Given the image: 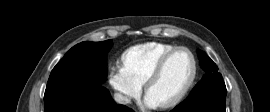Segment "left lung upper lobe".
Listing matches in <instances>:
<instances>
[{
  "label": "left lung upper lobe",
  "instance_id": "5c2ea615",
  "mask_svg": "<svg viewBox=\"0 0 270 112\" xmlns=\"http://www.w3.org/2000/svg\"><path fill=\"white\" fill-rule=\"evenodd\" d=\"M198 58L200 60L201 68L207 73L203 79L193 88L188 98L197 95L204 90L208 85L222 80V75L218 73V67L202 50H198Z\"/></svg>",
  "mask_w": 270,
  "mask_h": 112
}]
</instances>
